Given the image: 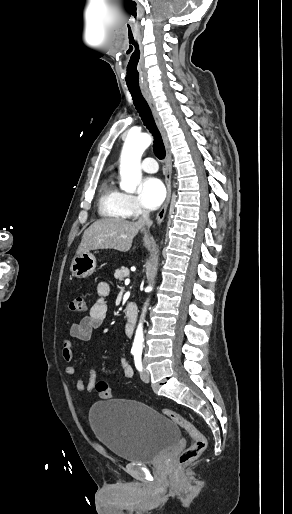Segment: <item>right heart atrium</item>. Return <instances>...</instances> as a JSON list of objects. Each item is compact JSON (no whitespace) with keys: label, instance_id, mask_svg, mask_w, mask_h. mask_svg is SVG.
Returning a JSON list of instances; mask_svg holds the SVG:
<instances>
[{"label":"right heart atrium","instance_id":"1","mask_svg":"<svg viewBox=\"0 0 292 514\" xmlns=\"http://www.w3.org/2000/svg\"><path fill=\"white\" fill-rule=\"evenodd\" d=\"M125 202L129 212H136L141 209L139 201L133 195L125 194Z\"/></svg>","mask_w":292,"mask_h":514}]
</instances>
